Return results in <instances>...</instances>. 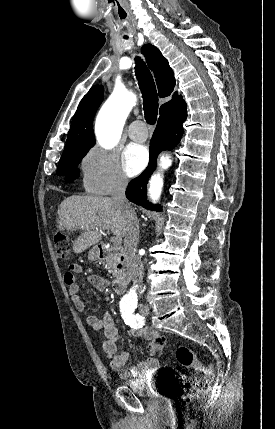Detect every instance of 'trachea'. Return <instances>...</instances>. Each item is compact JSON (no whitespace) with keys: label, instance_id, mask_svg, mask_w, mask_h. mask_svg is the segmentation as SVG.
<instances>
[{"label":"trachea","instance_id":"1","mask_svg":"<svg viewBox=\"0 0 275 429\" xmlns=\"http://www.w3.org/2000/svg\"><path fill=\"white\" fill-rule=\"evenodd\" d=\"M135 74L143 98V109L145 119L148 124H155L158 114V95L153 77L145 63L139 58H135Z\"/></svg>","mask_w":275,"mask_h":429}]
</instances>
